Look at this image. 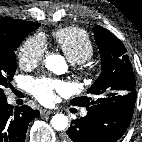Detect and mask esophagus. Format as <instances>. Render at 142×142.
I'll return each instance as SVG.
<instances>
[{
    "label": "esophagus",
    "instance_id": "34e87169",
    "mask_svg": "<svg viewBox=\"0 0 142 142\" xmlns=\"http://www.w3.org/2000/svg\"><path fill=\"white\" fill-rule=\"evenodd\" d=\"M51 113H52V111L47 110V109H42V110L40 111V114H41L42 116L49 115V114H51Z\"/></svg>",
    "mask_w": 142,
    "mask_h": 142
}]
</instances>
